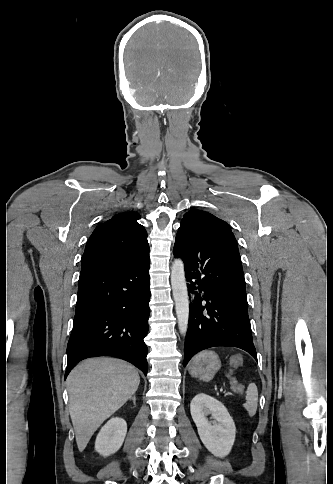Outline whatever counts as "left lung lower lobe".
<instances>
[{"instance_id":"1","label":"left lung lower lobe","mask_w":333,"mask_h":484,"mask_svg":"<svg viewBox=\"0 0 333 484\" xmlns=\"http://www.w3.org/2000/svg\"><path fill=\"white\" fill-rule=\"evenodd\" d=\"M173 253L183 259L190 292L183 365L197 352L217 346L241 348L257 360L244 273L231 229L181 222Z\"/></svg>"}]
</instances>
